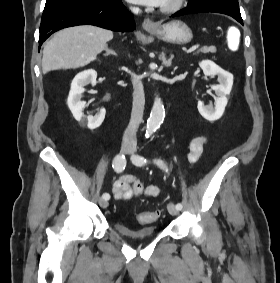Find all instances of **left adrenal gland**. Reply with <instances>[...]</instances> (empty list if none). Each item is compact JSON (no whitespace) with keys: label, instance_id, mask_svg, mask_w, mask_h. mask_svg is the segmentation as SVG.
<instances>
[{"label":"left adrenal gland","instance_id":"1","mask_svg":"<svg viewBox=\"0 0 280 283\" xmlns=\"http://www.w3.org/2000/svg\"><path fill=\"white\" fill-rule=\"evenodd\" d=\"M173 58H174V55H171L170 58L167 60V59H166V56H165V53H162V61H163V64H164L166 67L171 66V63H172Z\"/></svg>","mask_w":280,"mask_h":283}]
</instances>
